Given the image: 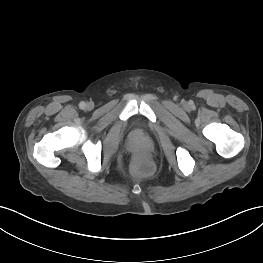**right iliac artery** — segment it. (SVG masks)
<instances>
[{
    "mask_svg": "<svg viewBox=\"0 0 263 263\" xmlns=\"http://www.w3.org/2000/svg\"><path fill=\"white\" fill-rule=\"evenodd\" d=\"M85 106H86V103H85V102H80L79 107H80L81 109H84Z\"/></svg>",
    "mask_w": 263,
    "mask_h": 263,
    "instance_id": "82829eb1",
    "label": "right iliac artery"
}]
</instances>
